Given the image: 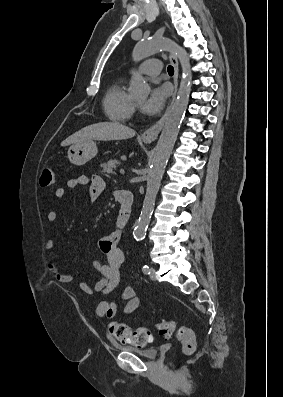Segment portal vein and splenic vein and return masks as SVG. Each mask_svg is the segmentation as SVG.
<instances>
[{
	"mask_svg": "<svg viewBox=\"0 0 283 397\" xmlns=\"http://www.w3.org/2000/svg\"><path fill=\"white\" fill-rule=\"evenodd\" d=\"M120 174H125V170L124 169H120Z\"/></svg>",
	"mask_w": 283,
	"mask_h": 397,
	"instance_id": "1",
	"label": "portal vein and splenic vein"
}]
</instances>
